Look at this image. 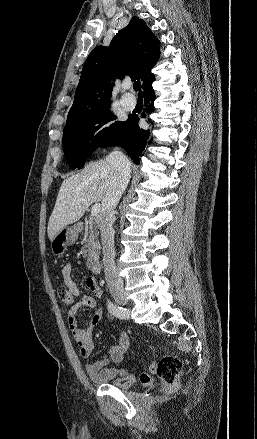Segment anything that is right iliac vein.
I'll return each mask as SVG.
<instances>
[{
    "label": "right iliac vein",
    "instance_id": "right-iliac-vein-1",
    "mask_svg": "<svg viewBox=\"0 0 257 439\" xmlns=\"http://www.w3.org/2000/svg\"><path fill=\"white\" fill-rule=\"evenodd\" d=\"M114 299L121 305H126L128 302L127 296L123 291H116L112 293Z\"/></svg>",
    "mask_w": 257,
    "mask_h": 439
}]
</instances>
